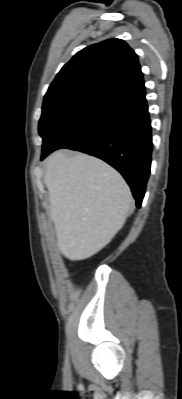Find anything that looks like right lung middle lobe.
<instances>
[{"mask_svg":"<svg viewBox=\"0 0 182 399\" xmlns=\"http://www.w3.org/2000/svg\"><path fill=\"white\" fill-rule=\"evenodd\" d=\"M105 99L89 94H69L44 100L39 121L42 152L74 122L99 107Z\"/></svg>","mask_w":182,"mask_h":399,"instance_id":"obj_1","label":"right lung middle lobe"}]
</instances>
